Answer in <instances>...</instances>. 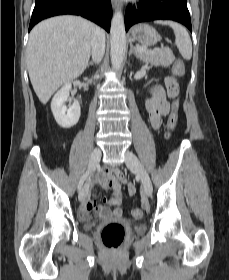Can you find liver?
<instances>
[{"mask_svg": "<svg viewBox=\"0 0 229 280\" xmlns=\"http://www.w3.org/2000/svg\"><path fill=\"white\" fill-rule=\"evenodd\" d=\"M94 27L86 19L65 15L44 20L32 29L27 45V69L42 104L58 88L84 72Z\"/></svg>", "mask_w": 229, "mask_h": 280, "instance_id": "liver-1", "label": "liver"}]
</instances>
